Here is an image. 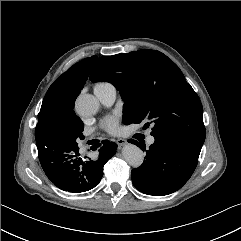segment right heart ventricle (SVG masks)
Returning <instances> with one entry per match:
<instances>
[{
  "label": "right heart ventricle",
  "mask_w": 241,
  "mask_h": 241,
  "mask_svg": "<svg viewBox=\"0 0 241 241\" xmlns=\"http://www.w3.org/2000/svg\"><path fill=\"white\" fill-rule=\"evenodd\" d=\"M108 85V83H98L96 86Z\"/></svg>",
  "instance_id": "e07e8e85"
}]
</instances>
